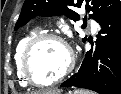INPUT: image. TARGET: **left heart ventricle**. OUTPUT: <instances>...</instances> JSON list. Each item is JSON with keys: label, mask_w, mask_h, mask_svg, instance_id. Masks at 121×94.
<instances>
[{"label": "left heart ventricle", "mask_w": 121, "mask_h": 94, "mask_svg": "<svg viewBox=\"0 0 121 94\" xmlns=\"http://www.w3.org/2000/svg\"><path fill=\"white\" fill-rule=\"evenodd\" d=\"M67 61L65 48L56 41L46 40L39 43L30 56V73L37 82L46 83L63 71Z\"/></svg>", "instance_id": "b2bd125f"}]
</instances>
